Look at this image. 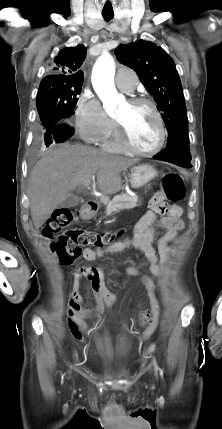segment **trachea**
Masks as SVG:
<instances>
[{"instance_id": "3493384b", "label": "trachea", "mask_w": 222, "mask_h": 429, "mask_svg": "<svg viewBox=\"0 0 222 429\" xmlns=\"http://www.w3.org/2000/svg\"><path fill=\"white\" fill-rule=\"evenodd\" d=\"M102 16L106 21H110L114 17V13L113 12H110V13L103 12Z\"/></svg>"}]
</instances>
